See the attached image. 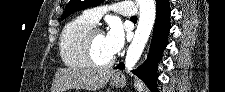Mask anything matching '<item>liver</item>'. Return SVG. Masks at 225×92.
I'll return each instance as SVG.
<instances>
[{
	"label": "liver",
	"instance_id": "6515ba94",
	"mask_svg": "<svg viewBox=\"0 0 225 92\" xmlns=\"http://www.w3.org/2000/svg\"><path fill=\"white\" fill-rule=\"evenodd\" d=\"M113 71L106 69L62 68L55 73L51 92H66L71 89L96 91L103 88Z\"/></svg>",
	"mask_w": 225,
	"mask_h": 92
}]
</instances>
